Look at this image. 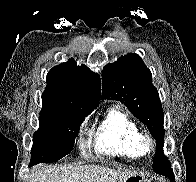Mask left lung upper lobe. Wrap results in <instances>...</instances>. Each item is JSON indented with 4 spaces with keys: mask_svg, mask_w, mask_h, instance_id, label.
Returning <instances> with one entry per match:
<instances>
[{
    "mask_svg": "<svg viewBox=\"0 0 196 182\" xmlns=\"http://www.w3.org/2000/svg\"><path fill=\"white\" fill-rule=\"evenodd\" d=\"M102 98L121 101L145 124L156 140L153 169L174 181L169 161H163L164 113L152 75L137 54L121 56L103 68ZM167 158V157H166ZM168 159V158H167Z\"/></svg>",
    "mask_w": 196,
    "mask_h": 182,
    "instance_id": "obj_1",
    "label": "left lung upper lobe"
}]
</instances>
